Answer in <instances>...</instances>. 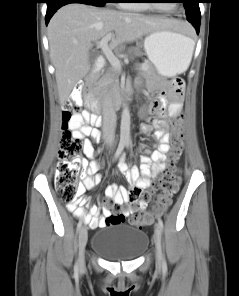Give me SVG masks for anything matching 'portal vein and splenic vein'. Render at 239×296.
<instances>
[{"mask_svg":"<svg viewBox=\"0 0 239 296\" xmlns=\"http://www.w3.org/2000/svg\"><path fill=\"white\" fill-rule=\"evenodd\" d=\"M113 33H108L100 41L96 42L97 47L101 48L107 60L110 62L115 71L121 72L122 67L120 60L114 55L112 49L108 46V42L112 38ZM141 70H147V66L142 65Z\"/></svg>","mask_w":239,"mask_h":296,"instance_id":"1","label":"portal vein and splenic vein"}]
</instances>
